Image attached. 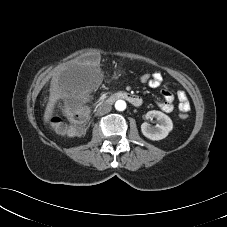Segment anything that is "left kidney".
<instances>
[{
  "instance_id": "1",
  "label": "left kidney",
  "mask_w": 227,
  "mask_h": 227,
  "mask_svg": "<svg viewBox=\"0 0 227 227\" xmlns=\"http://www.w3.org/2000/svg\"><path fill=\"white\" fill-rule=\"evenodd\" d=\"M147 119L155 118L159 124L152 127L149 123L144 122L141 125V131L145 137L150 140L158 141L166 138L173 129V123L170 117L161 111L152 110L146 114Z\"/></svg>"
}]
</instances>
